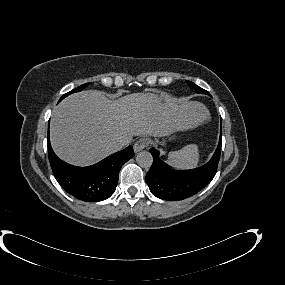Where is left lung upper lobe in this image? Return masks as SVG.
Here are the masks:
<instances>
[{"label":"left lung upper lobe","instance_id":"1","mask_svg":"<svg viewBox=\"0 0 285 285\" xmlns=\"http://www.w3.org/2000/svg\"><path fill=\"white\" fill-rule=\"evenodd\" d=\"M188 85L190 86V88L194 89L196 91V93H200V94H207L210 95L209 92H207L206 90L200 88L199 86H197L196 84L187 81Z\"/></svg>","mask_w":285,"mask_h":285}]
</instances>
